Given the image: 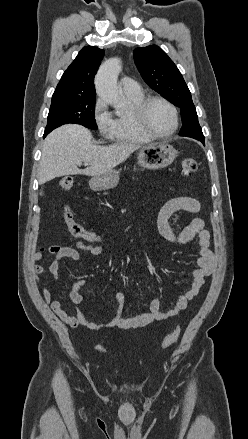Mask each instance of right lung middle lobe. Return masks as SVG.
Masks as SVG:
<instances>
[{
	"instance_id": "dd1d6c3e",
	"label": "right lung middle lobe",
	"mask_w": 248,
	"mask_h": 439,
	"mask_svg": "<svg viewBox=\"0 0 248 439\" xmlns=\"http://www.w3.org/2000/svg\"><path fill=\"white\" fill-rule=\"evenodd\" d=\"M95 102V97H52L44 136L53 129L68 123L80 124L89 129H98L94 118Z\"/></svg>"
}]
</instances>
